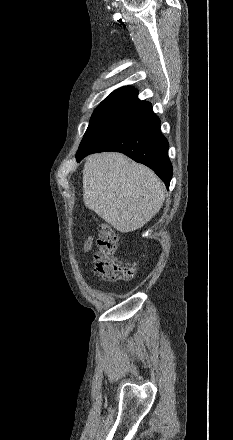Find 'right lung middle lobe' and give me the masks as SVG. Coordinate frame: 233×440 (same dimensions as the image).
Masks as SVG:
<instances>
[{
    "label": "right lung middle lobe",
    "mask_w": 233,
    "mask_h": 440,
    "mask_svg": "<svg viewBox=\"0 0 233 440\" xmlns=\"http://www.w3.org/2000/svg\"><path fill=\"white\" fill-rule=\"evenodd\" d=\"M124 106L120 104L101 103L94 111L84 138L105 123Z\"/></svg>",
    "instance_id": "obj_1"
}]
</instances>
